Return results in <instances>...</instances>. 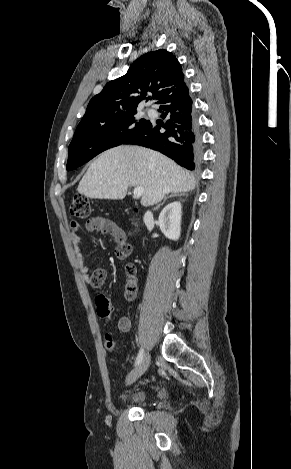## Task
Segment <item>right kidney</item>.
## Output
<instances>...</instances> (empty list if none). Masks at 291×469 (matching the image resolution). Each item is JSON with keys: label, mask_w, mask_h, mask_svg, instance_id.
Segmentation results:
<instances>
[{"label": "right kidney", "mask_w": 291, "mask_h": 469, "mask_svg": "<svg viewBox=\"0 0 291 469\" xmlns=\"http://www.w3.org/2000/svg\"><path fill=\"white\" fill-rule=\"evenodd\" d=\"M181 203L168 204L160 213L158 223L162 233L171 240H178L181 231Z\"/></svg>", "instance_id": "ca27d5eb"}]
</instances>
